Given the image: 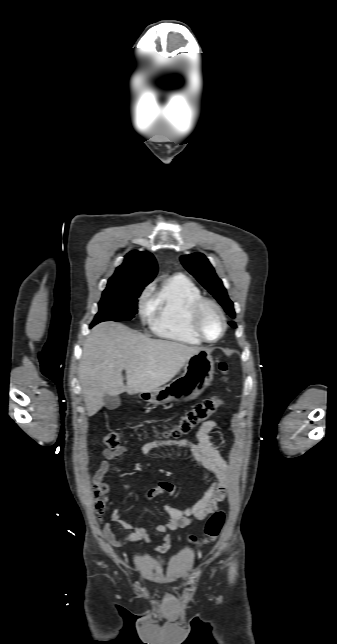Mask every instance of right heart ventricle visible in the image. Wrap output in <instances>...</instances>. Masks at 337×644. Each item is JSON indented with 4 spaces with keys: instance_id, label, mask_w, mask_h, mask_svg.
Segmentation results:
<instances>
[{
    "instance_id": "e07e8e85",
    "label": "right heart ventricle",
    "mask_w": 337,
    "mask_h": 644,
    "mask_svg": "<svg viewBox=\"0 0 337 644\" xmlns=\"http://www.w3.org/2000/svg\"><path fill=\"white\" fill-rule=\"evenodd\" d=\"M202 297L198 285L184 274L167 278L149 302L150 327L159 337L186 345L202 341L190 327L193 304Z\"/></svg>"
}]
</instances>
